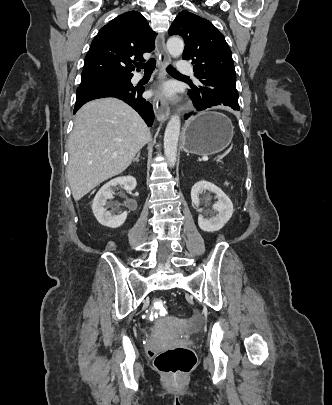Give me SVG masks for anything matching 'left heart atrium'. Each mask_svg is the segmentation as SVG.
<instances>
[{
  "label": "left heart atrium",
  "instance_id": "1",
  "mask_svg": "<svg viewBox=\"0 0 332 405\" xmlns=\"http://www.w3.org/2000/svg\"><path fill=\"white\" fill-rule=\"evenodd\" d=\"M173 88L170 86V85H168V84H166V85H164V86H162L161 88H159V90H158V93L159 94H161V95H163V96H166V97H171V96H173Z\"/></svg>",
  "mask_w": 332,
  "mask_h": 405
}]
</instances>
